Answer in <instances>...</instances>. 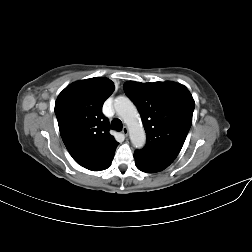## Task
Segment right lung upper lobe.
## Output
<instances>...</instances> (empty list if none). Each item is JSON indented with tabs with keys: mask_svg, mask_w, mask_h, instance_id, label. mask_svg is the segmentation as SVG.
I'll return each instance as SVG.
<instances>
[{
	"mask_svg": "<svg viewBox=\"0 0 252 252\" xmlns=\"http://www.w3.org/2000/svg\"><path fill=\"white\" fill-rule=\"evenodd\" d=\"M114 83L104 77L74 82L55 103L62 140L72 158L81 166L99 171L109 167L119 144L110 135L109 120L102 113Z\"/></svg>",
	"mask_w": 252,
	"mask_h": 252,
	"instance_id": "cb5924a9",
	"label": "right lung upper lobe"
}]
</instances>
